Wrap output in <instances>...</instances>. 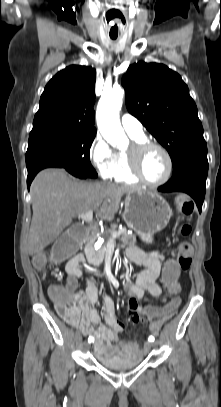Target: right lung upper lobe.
<instances>
[{"mask_svg":"<svg viewBox=\"0 0 221 407\" xmlns=\"http://www.w3.org/2000/svg\"><path fill=\"white\" fill-rule=\"evenodd\" d=\"M95 80L91 67L71 65L58 72L41 95L32 130L68 128L96 133Z\"/></svg>","mask_w":221,"mask_h":407,"instance_id":"right-lung-upper-lobe-1","label":"right lung upper lobe"}]
</instances>
